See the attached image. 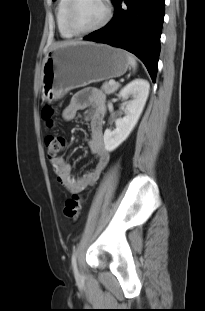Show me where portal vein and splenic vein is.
I'll return each mask as SVG.
<instances>
[{"mask_svg":"<svg viewBox=\"0 0 205 311\" xmlns=\"http://www.w3.org/2000/svg\"><path fill=\"white\" fill-rule=\"evenodd\" d=\"M109 83L110 84H115L116 82L114 80H111Z\"/></svg>","mask_w":205,"mask_h":311,"instance_id":"portal-vein-and-splenic-vein-1","label":"portal vein and splenic vein"}]
</instances>
